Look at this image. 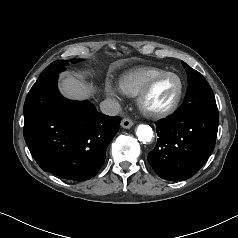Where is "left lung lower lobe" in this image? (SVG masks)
Returning <instances> with one entry per match:
<instances>
[{
  "mask_svg": "<svg viewBox=\"0 0 238 238\" xmlns=\"http://www.w3.org/2000/svg\"><path fill=\"white\" fill-rule=\"evenodd\" d=\"M217 107L198 110L190 115L176 113L156 123L158 140L148 154L149 164L166 180L192 177L214 150L218 130Z\"/></svg>",
  "mask_w": 238,
  "mask_h": 238,
  "instance_id": "left-lung-lower-lobe-1",
  "label": "left lung lower lobe"
}]
</instances>
